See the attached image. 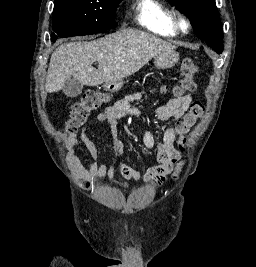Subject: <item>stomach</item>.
<instances>
[{
	"mask_svg": "<svg viewBox=\"0 0 256 267\" xmlns=\"http://www.w3.org/2000/svg\"><path fill=\"white\" fill-rule=\"evenodd\" d=\"M177 62H179V54L175 50H172V52H163V54H158L155 58V64L160 70L172 68Z\"/></svg>",
	"mask_w": 256,
	"mask_h": 267,
	"instance_id": "stomach-1",
	"label": "stomach"
}]
</instances>
